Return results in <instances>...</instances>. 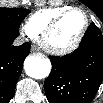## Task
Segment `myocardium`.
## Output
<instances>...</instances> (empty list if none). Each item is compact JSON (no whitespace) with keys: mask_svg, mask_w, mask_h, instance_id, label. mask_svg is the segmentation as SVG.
Segmentation results:
<instances>
[{"mask_svg":"<svg viewBox=\"0 0 103 103\" xmlns=\"http://www.w3.org/2000/svg\"><path fill=\"white\" fill-rule=\"evenodd\" d=\"M73 12H80L84 16V27H83V30H82L81 34L79 35V37L71 45L64 47V48H54V47L50 46L48 44L49 36L58 27V25L61 23V21ZM89 25H90L89 16L84 9H82L80 7L69 8V9L63 11L62 13H60L59 15H57L45 27V29L42 31V33L40 35V45L45 51H47L48 53L53 54V55L63 56V55L70 54V53L74 52L83 42V40L87 34V31L89 29Z\"/></svg>","mask_w":103,"mask_h":103,"instance_id":"1","label":"myocardium"}]
</instances>
